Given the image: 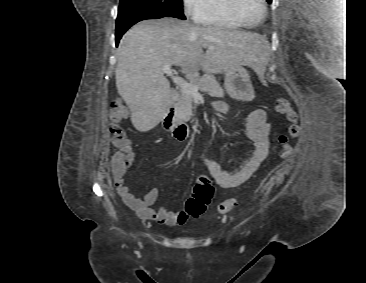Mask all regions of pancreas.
<instances>
[{"mask_svg": "<svg viewBox=\"0 0 366 283\" xmlns=\"http://www.w3.org/2000/svg\"><path fill=\"white\" fill-rule=\"evenodd\" d=\"M189 78L190 82L196 84L201 92L208 93L211 97L221 98L225 94L220 84L211 75H204L203 77L190 75ZM192 105L193 95L182 92L177 108L179 117L185 122L191 119Z\"/></svg>", "mask_w": 366, "mask_h": 283, "instance_id": "obj_1", "label": "pancreas"}]
</instances>
